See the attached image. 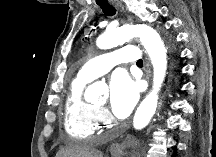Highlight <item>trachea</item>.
I'll use <instances>...</instances> for the list:
<instances>
[{"label": "trachea", "instance_id": "3493384b", "mask_svg": "<svg viewBox=\"0 0 216 157\" xmlns=\"http://www.w3.org/2000/svg\"><path fill=\"white\" fill-rule=\"evenodd\" d=\"M97 5L103 10V12L108 16H113L116 13L115 7H113L107 0L97 2ZM143 61L138 60L137 65H142Z\"/></svg>", "mask_w": 216, "mask_h": 157}]
</instances>
